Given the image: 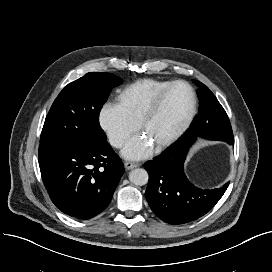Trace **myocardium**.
Returning <instances> with one entry per match:
<instances>
[{
    "mask_svg": "<svg viewBox=\"0 0 272 272\" xmlns=\"http://www.w3.org/2000/svg\"><path fill=\"white\" fill-rule=\"evenodd\" d=\"M177 86H184L190 95V107L189 111L184 119V121L181 123V125L165 140L160 142L155 146L156 150L160 151L163 150L170 145H172L176 140H178L184 132L188 129L191 122L194 119V116L196 114V108H197V99L195 92L193 88L185 81H174L170 83L164 90H162L150 103V105L146 108L144 111L139 124L138 128L140 131H143L148 121L156 114V112L161 107L162 103L164 102L165 98L168 96V94Z\"/></svg>",
    "mask_w": 272,
    "mask_h": 272,
    "instance_id": "obj_1",
    "label": "myocardium"
}]
</instances>
